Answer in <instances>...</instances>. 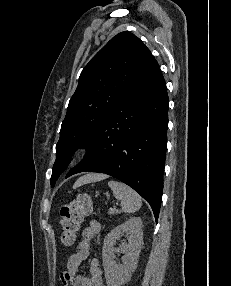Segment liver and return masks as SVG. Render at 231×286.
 <instances>
[{"label":"liver","instance_id":"liver-1","mask_svg":"<svg viewBox=\"0 0 231 286\" xmlns=\"http://www.w3.org/2000/svg\"><path fill=\"white\" fill-rule=\"evenodd\" d=\"M107 176L104 174H87L81 178H79L75 184L73 185V188L76 189L80 187L83 184L99 181L102 179H105Z\"/></svg>","mask_w":231,"mask_h":286}]
</instances>
